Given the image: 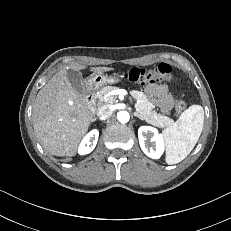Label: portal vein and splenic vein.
Segmentation results:
<instances>
[{"label":"portal vein and splenic vein","mask_w":231,"mask_h":231,"mask_svg":"<svg viewBox=\"0 0 231 231\" xmlns=\"http://www.w3.org/2000/svg\"><path fill=\"white\" fill-rule=\"evenodd\" d=\"M124 91L119 89V90H114L110 93H108L106 96H111V95H118V94H122Z\"/></svg>","instance_id":"1"}]
</instances>
